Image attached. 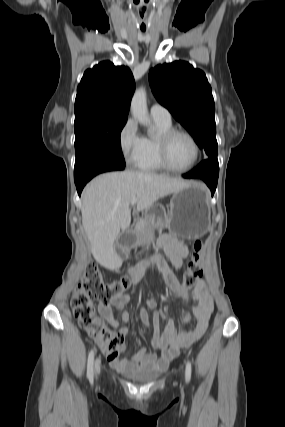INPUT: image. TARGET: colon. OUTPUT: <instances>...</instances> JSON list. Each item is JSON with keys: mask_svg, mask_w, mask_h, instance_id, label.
<instances>
[{"mask_svg": "<svg viewBox=\"0 0 285 427\" xmlns=\"http://www.w3.org/2000/svg\"><path fill=\"white\" fill-rule=\"evenodd\" d=\"M202 253L203 244L196 241L193 244L192 258L182 279L186 289L196 287L202 277ZM129 285L130 280L126 277L105 281L98 267L90 264L71 300L73 314L79 326L98 342L109 358L118 355L123 338L105 325L96 312L95 302L108 304L114 295L124 293Z\"/></svg>", "mask_w": 285, "mask_h": 427, "instance_id": "obj_1", "label": "colon"}]
</instances>
